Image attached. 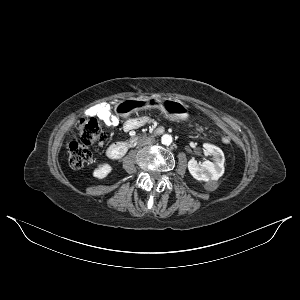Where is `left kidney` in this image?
<instances>
[{"instance_id":"obj_1","label":"left kidney","mask_w":300,"mask_h":300,"mask_svg":"<svg viewBox=\"0 0 300 300\" xmlns=\"http://www.w3.org/2000/svg\"><path fill=\"white\" fill-rule=\"evenodd\" d=\"M203 147L207 154L212 155L213 162L206 160L202 164H198L195 159H191L188 162V170L196 180L217 181L224 173V153L219 147L212 144L205 143Z\"/></svg>"}]
</instances>
